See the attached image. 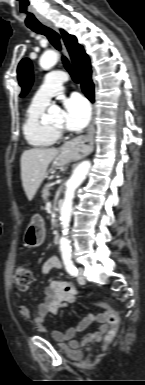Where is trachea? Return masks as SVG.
<instances>
[{"label":"trachea","mask_w":145,"mask_h":385,"mask_svg":"<svg viewBox=\"0 0 145 385\" xmlns=\"http://www.w3.org/2000/svg\"><path fill=\"white\" fill-rule=\"evenodd\" d=\"M29 28L38 33V34H42V35H45L48 40L50 41V43L59 51H61V44H60V36L57 32H55L54 30L42 25V24H37V25H33V26H29ZM62 61H63V64L65 66V68L67 69V71L70 73L73 81L75 83H79L80 82V78H79V75L75 72V70L71 67L68 59L62 55Z\"/></svg>","instance_id":"trachea-1"}]
</instances>
